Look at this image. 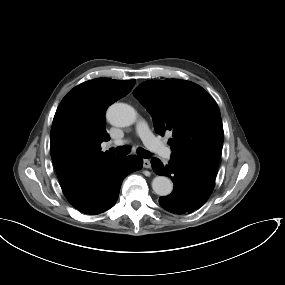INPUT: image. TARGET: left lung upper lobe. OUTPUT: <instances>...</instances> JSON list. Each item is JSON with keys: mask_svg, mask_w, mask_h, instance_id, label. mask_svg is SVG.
<instances>
[{"mask_svg": "<svg viewBox=\"0 0 285 285\" xmlns=\"http://www.w3.org/2000/svg\"><path fill=\"white\" fill-rule=\"evenodd\" d=\"M133 95L151 114L158 134L172 131L171 158L218 169L224 138L221 115L202 87L184 80H150Z\"/></svg>", "mask_w": 285, "mask_h": 285, "instance_id": "left-lung-upper-lobe-1", "label": "left lung upper lobe"}]
</instances>
